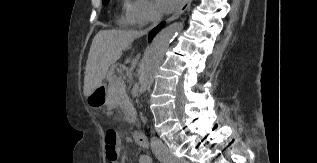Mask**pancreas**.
Wrapping results in <instances>:
<instances>
[{
  "label": "pancreas",
  "mask_w": 317,
  "mask_h": 163,
  "mask_svg": "<svg viewBox=\"0 0 317 163\" xmlns=\"http://www.w3.org/2000/svg\"><path fill=\"white\" fill-rule=\"evenodd\" d=\"M108 90V103L107 105L111 108H120L125 116V120L129 123H134L136 120V111L133 104L126 93L125 84L121 78H118L110 70L107 76ZM120 81L122 85H118L117 81Z\"/></svg>",
  "instance_id": "cf45deb5"
}]
</instances>
